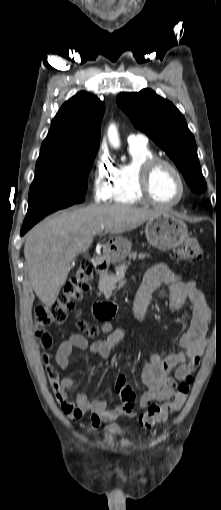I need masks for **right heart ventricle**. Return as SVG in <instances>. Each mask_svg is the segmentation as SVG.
<instances>
[{"label":"right heart ventricle","mask_w":221,"mask_h":510,"mask_svg":"<svg viewBox=\"0 0 221 510\" xmlns=\"http://www.w3.org/2000/svg\"><path fill=\"white\" fill-rule=\"evenodd\" d=\"M131 160L114 168V183L111 200L122 204L143 202L137 187L139 165L154 153L147 144H129Z\"/></svg>","instance_id":"obj_1"}]
</instances>
